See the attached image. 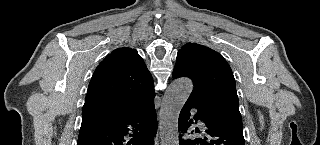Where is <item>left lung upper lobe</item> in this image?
<instances>
[{
    "mask_svg": "<svg viewBox=\"0 0 320 145\" xmlns=\"http://www.w3.org/2000/svg\"><path fill=\"white\" fill-rule=\"evenodd\" d=\"M173 73L189 77L199 107L217 120L242 127L232 70L218 52L197 43H186L177 54Z\"/></svg>",
    "mask_w": 320,
    "mask_h": 145,
    "instance_id": "left-lung-upper-lobe-1",
    "label": "left lung upper lobe"
}]
</instances>
